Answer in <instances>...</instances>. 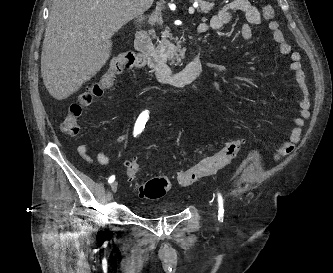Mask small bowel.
<instances>
[{"instance_id": "1", "label": "small bowel", "mask_w": 333, "mask_h": 273, "mask_svg": "<svg viewBox=\"0 0 333 273\" xmlns=\"http://www.w3.org/2000/svg\"><path fill=\"white\" fill-rule=\"evenodd\" d=\"M235 11L242 12L246 19L239 30V33L244 40H250L253 37L252 26L259 25L263 18L268 19L264 16V9L259 10L258 8L252 6L248 0H231L221 6L209 21L200 24L198 31L204 32L223 28L228 23H230L232 20V14ZM269 29L273 39L279 45L280 52L282 54L290 55V69L295 74L300 94L298 116L293 121L288 140H286L276 151L275 159H278L290 154L301 139V132L304 121L309 117L310 92L306 83L303 67L300 62V54L296 51H292L290 44L285 40L277 22H270ZM77 152L85 161H92L90 155L88 154L87 145H79ZM96 159L99 164L103 166H108L110 164V158L102 151L97 153Z\"/></svg>"}]
</instances>
